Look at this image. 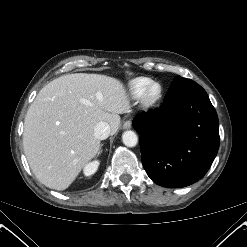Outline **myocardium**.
<instances>
[{
  "instance_id": "f54148a6",
  "label": "myocardium",
  "mask_w": 247,
  "mask_h": 247,
  "mask_svg": "<svg viewBox=\"0 0 247 247\" xmlns=\"http://www.w3.org/2000/svg\"><path fill=\"white\" fill-rule=\"evenodd\" d=\"M162 87L158 82L150 83L140 96V103L144 108L154 106L162 96Z\"/></svg>"
}]
</instances>
